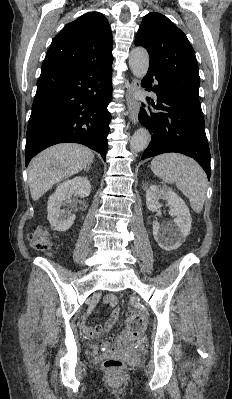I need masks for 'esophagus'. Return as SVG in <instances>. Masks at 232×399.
<instances>
[{"instance_id": "obj_1", "label": "esophagus", "mask_w": 232, "mask_h": 399, "mask_svg": "<svg viewBox=\"0 0 232 399\" xmlns=\"http://www.w3.org/2000/svg\"><path fill=\"white\" fill-rule=\"evenodd\" d=\"M141 88L140 82L137 79H132L126 94V104L129 111V118L133 124L138 122L139 103L135 100L133 94L136 90Z\"/></svg>"}]
</instances>
